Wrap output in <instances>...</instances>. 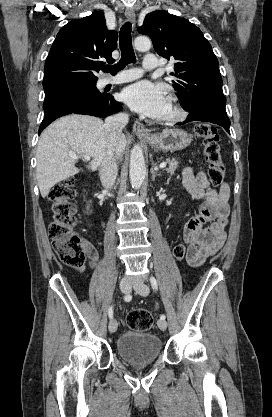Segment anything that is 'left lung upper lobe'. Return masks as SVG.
<instances>
[{"instance_id": "left-lung-upper-lobe-1", "label": "left lung upper lobe", "mask_w": 272, "mask_h": 417, "mask_svg": "<svg viewBox=\"0 0 272 417\" xmlns=\"http://www.w3.org/2000/svg\"><path fill=\"white\" fill-rule=\"evenodd\" d=\"M138 32L149 35L155 51L168 60L173 58L175 78L181 106L187 110H207L226 115V98L218 60L201 30L188 20L153 11Z\"/></svg>"}]
</instances>
